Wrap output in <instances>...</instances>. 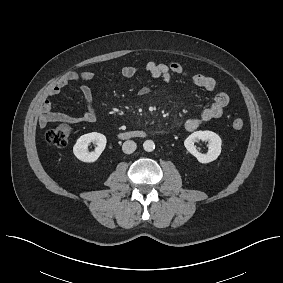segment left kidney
Instances as JSON below:
<instances>
[{"instance_id":"obj_1","label":"left kidney","mask_w":283,"mask_h":283,"mask_svg":"<svg viewBox=\"0 0 283 283\" xmlns=\"http://www.w3.org/2000/svg\"><path fill=\"white\" fill-rule=\"evenodd\" d=\"M198 140L207 141L208 152L206 154L200 153L196 146L195 142ZM222 140L219 135L212 131H196L189 135L185 141L184 146L186 149L194 155L200 163H210L218 158L221 153Z\"/></svg>"}]
</instances>
